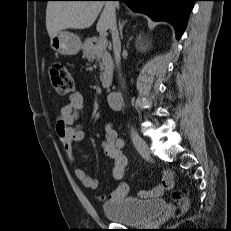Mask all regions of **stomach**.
Segmentation results:
<instances>
[{
    "label": "stomach",
    "instance_id": "1",
    "mask_svg": "<svg viewBox=\"0 0 231 231\" xmlns=\"http://www.w3.org/2000/svg\"><path fill=\"white\" fill-rule=\"evenodd\" d=\"M51 48L62 55H76L81 49L80 38L71 32L60 31L51 38Z\"/></svg>",
    "mask_w": 231,
    "mask_h": 231
}]
</instances>
